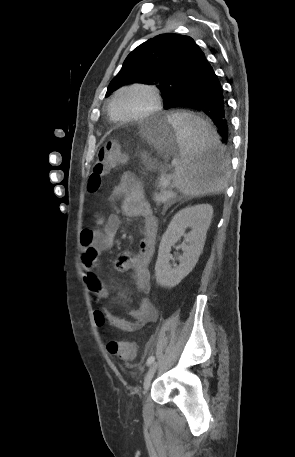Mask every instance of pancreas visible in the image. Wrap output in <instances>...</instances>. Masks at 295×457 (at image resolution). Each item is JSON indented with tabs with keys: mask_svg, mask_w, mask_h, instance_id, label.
Instances as JSON below:
<instances>
[{
	"mask_svg": "<svg viewBox=\"0 0 295 457\" xmlns=\"http://www.w3.org/2000/svg\"><path fill=\"white\" fill-rule=\"evenodd\" d=\"M158 188L159 192L154 194V200L156 202H172L174 200V193L171 190V183L168 181L167 185L163 186L159 181Z\"/></svg>",
	"mask_w": 295,
	"mask_h": 457,
	"instance_id": "cf45deb5",
	"label": "pancreas"
}]
</instances>
